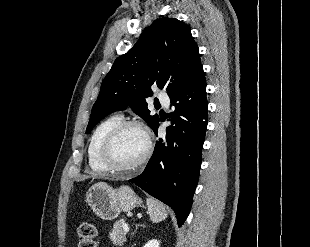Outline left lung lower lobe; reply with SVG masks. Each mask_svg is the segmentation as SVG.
<instances>
[{"label":"left lung lower lobe","instance_id":"1","mask_svg":"<svg viewBox=\"0 0 310 247\" xmlns=\"http://www.w3.org/2000/svg\"><path fill=\"white\" fill-rule=\"evenodd\" d=\"M169 97L174 112L170 116L171 126L166 129V138H160L156 143L143 173L129 181L170 206L180 227L191 209L207 127L203 67ZM158 126L159 123L152 128L156 135Z\"/></svg>","mask_w":310,"mask_h":247}]
</instances>
